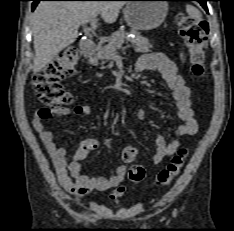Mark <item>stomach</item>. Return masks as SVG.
<instances>
[{
  "mask_svg": "<svg viewBox=\"0 0 234 231\" xmlns=\"http://www.w3.org/2000/svg\"><path fill=\"white\" fill-rule=\"evenodd\" d=\"M127 24L137 31H148L159 27L168 12L164 0H133L123 10Z\"/></svg>",
  "mask_w": 234,
  "mask_h": 231,
  "instance_id": "1",
  "label": "stomach"
}]
</instances>
